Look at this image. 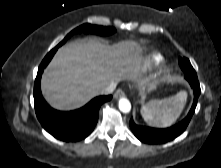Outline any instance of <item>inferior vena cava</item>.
Instances as JSON below:
<instances>
[{"label":"inferior vena cava","instance_id":"1","mask_svg":"<svg viewBox=\"0 0 221 168\" xmlns=\"http://www.w3.org/2000/svg\"><path fill=\"white\" fill-rule=\"evenodd\" d=\"M116 88V83H111L100 91L101 95H108L113 93Z\"/></svg>","mask_w":221,"mask_h":168}]
</instances>
